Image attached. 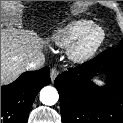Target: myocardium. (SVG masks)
Returning a JSON list of instances; mask_svg holds the SVG:
<instances>
[{"instance_id": "obj_1", "label": "myocardium", "mask_w": 123, "mask_h": 123, "mask_svg": "<svg viewBox=\"0 0 123 123\" xmlns=\"http://www.w3.org/2000/svg\"><path fill=\"white\" fill-rule=\"evenodd\" d=\"M106 38L103 27L93 25L80 35L68 49V57L74 63H84L100 49Z\"/></svg>"}]
</instances>
